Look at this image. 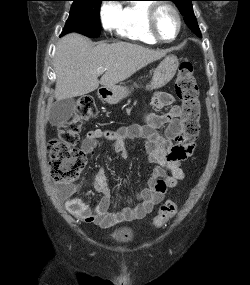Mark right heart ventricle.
I'll return each instance as SVG.
<instances>
[{
    "label": "right heart ventricle",
    "mask_w": 250,
    "mask_h": 285,
    "mask_svg": "<svg viewBox=\"0 0 250 285\" xmlns=\"http://www.w3.org/2000/svg\"><path fill=\"white\" fill-rule=\"evenodd\" d=\"M151 6L146 0H137L121 8L119 24L116 29L118 35L124 39L146 44L155 45L154 40L147 28V16Z\"/></svg>",
    "instance_id": "obj_1"
}]
</instances>
